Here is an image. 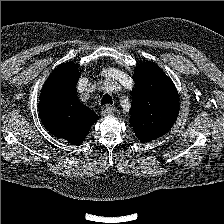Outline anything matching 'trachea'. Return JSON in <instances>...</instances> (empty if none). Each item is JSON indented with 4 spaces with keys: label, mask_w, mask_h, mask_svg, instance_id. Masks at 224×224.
I'll use <instances>...</instances> for the list:
<instances>
[{
    "label": "trachea",
    "mask_w": 224,
    "mask_h": 224,
    "mask_svg": "<svg viewBox=\"0 0 224 224\" xmlns=\"http://www.w3.org/2000/svg\"><path fill=\"white\" fill-rule=\"evenodd\" d=\"M112 97L110 95H104L102 100H101V104L102 105H106V104H111L112 103Z\"/></svg>",
    "instance_id": "3493384b"
}]
</instances>
